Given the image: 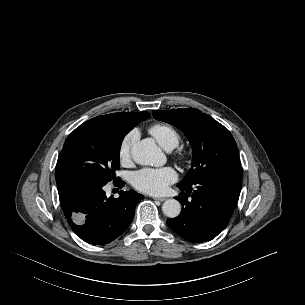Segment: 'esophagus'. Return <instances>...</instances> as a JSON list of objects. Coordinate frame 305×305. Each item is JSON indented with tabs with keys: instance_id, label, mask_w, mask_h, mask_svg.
I'll list each match as a JSON object with an SVG mask.
<instances>
[{
	"instance_id": "esophagus-1",
	"label": "esophagus",
	"mask_w": 305,
	"mask_h": 305,
	"mask_svg": "<svg viewBox=\"0 0 305 305\" xmlns=\"http://www.w3.org/2000/svg\"><path fill=\"white\" fill-rule=\"evenodd\" d=\"M153 199L157 200V201H161V202L167 200V198H165V197H154Z\"/></svg>"
}]
</instances>
